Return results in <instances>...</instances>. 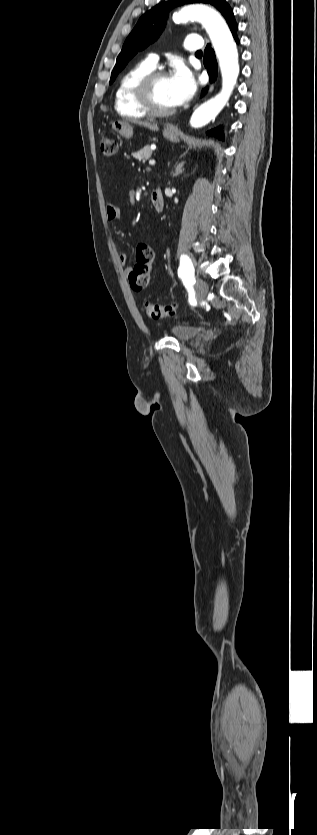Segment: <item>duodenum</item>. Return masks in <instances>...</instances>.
Instances as JSON below:
<instances>
[{
	"instance_id": "1",
	"label": "duodenum",
	"mask_w": 317,
	"mask_h": 835,
	"mask_svg": "<svg viewBox=\"0 0 317 835\" xmlns=\"http://www.w3.org/2000/svg\"><path fill=\"white\" fill-rule=\"evenodd\" d=\"M152 207L156 212H161L164 208V197L161 189H155L150 195Z\"/></svg>"
}]
</instances>
